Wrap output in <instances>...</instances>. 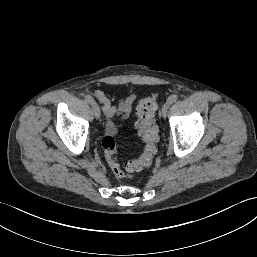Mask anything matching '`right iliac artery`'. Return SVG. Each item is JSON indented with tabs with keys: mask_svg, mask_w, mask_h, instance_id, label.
<instances>
[{
	"mask_svg": "<svg viewBox=\"0 0 257 257\" xmlns=\"http://www.w3.org/2000/svg\"><path fill=\"white\" fill-rule=\"evenodd\" d=\"M85 100H86V102H88L91 105L94 103L93 97L89 94L85 95Z\"/></svg>",
	"mask_w": 257,
	"mask_h": 257,
	"instance_id": "82829eb1",
	"label": "right iliac artery"
}]
</instances>
